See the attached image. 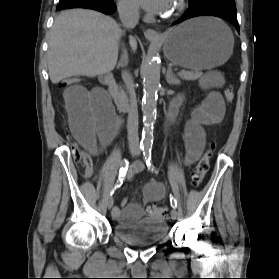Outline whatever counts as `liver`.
I'll use <instances>...</instances> for the list:
<instances>
[{
    "label": "liver",
    "mask_w": 279,
    "mask_h": 279,
    "mask_svg": "<svg viewBox=\"0 0 279 279\" xmlns=\"http://www.w3.org/2000/svg\"><path fill=\"white\" fill-rule=\"evenodd\" d=\"M121 36L116 21L102 13L86 9L63 11L49 35L47 60L51 82L57 84L74 76L96 77L112 71ZM129 44L136 51L134 37H130Z\"/></svg>",
    "instance_id": "1"
}]
</instances>
